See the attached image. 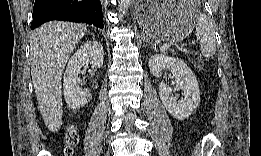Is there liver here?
<instances>
[{
  "label": "liver",
  "instance_id": "obj_1",
  "mask_svg": "<svg viewBox=\"0 0 261 156\" xmlns=\"http://www.w3.org/2000/svg\"><path fill=\"white\" fill-rule=\"evenodd\" d=\"M85 32L84 24L51 21L31 37L32 81L40 113L51 132H58L62 125V73Z\"/></svg>",
  "mask_w": 261,
  "mask_h": 156
}]
</instances>
